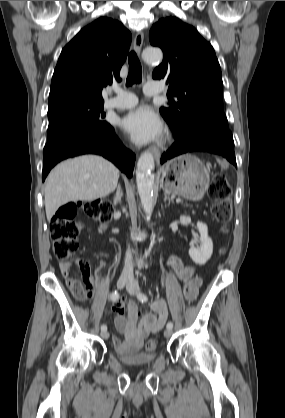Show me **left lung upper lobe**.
I'll return each instance as SVG.
<instances>
[{
  "instance_id": "5c2ea615",
  "label": "left lung upper lobe",
  "mask_w": 285,
  "mask_h": 418,
  "mask_svg": "<svg viewBox=\"0 0 285 418\" xmlns=\"http://www.w3.org/2000/svg\"><path fill=\"white\" fill-rule=\"evenodd\" d=\"M149 38L164 56L152 77L166 80L170 96L178 100L160 108L175 139L202 124L228 128L221 68L211 44L177 17L160 19L152 26Z\"/></svg>"
}]
</instances>
